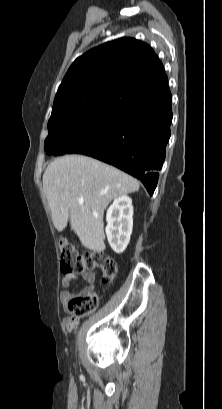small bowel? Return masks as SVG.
I'll list each match as a JSON object with an SVG mask.
<instances>
[{
  "label": "small bowel",
  "instance_id": "1",
  "mask_svg": "<svg viewBox=\"0 0 222 409\" xmlns=\"http://www.w3.org/2000/svg\"><path fill=\"white\" fill-rule=\"evenodd\" d=\"M85 280L86 286L83 288L82 292L91 291L96 283V272H86L81 275ZM78 279V276L73 273H64L61 285L63 290L60 293V300L63 304H67L75 295L71 291L72 284ZM79 323V318L69 315L64 318L63 326L66 331H72L75 326Z\"/></svg>",
  "mask_w": 222,
  "mask_h": 409
}]
</instances>
